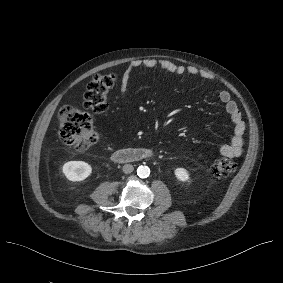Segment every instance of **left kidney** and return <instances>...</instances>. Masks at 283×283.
<instances>
[{"label": "left kidney", "mask_w": 283, "mask_h": 283, "mask_svg": "<svg viewBox=\"0 0 283 283\" xmlns=\"http://www.w3.org/2000/svg\"><path fill=\"white\" fill-rule=\"evenodd\" d=\"M174 173L179 181L186 182L189 180V173L184 168H176Z\"/></svg>", "instance_id": "5707ae66"}]
</instances>
